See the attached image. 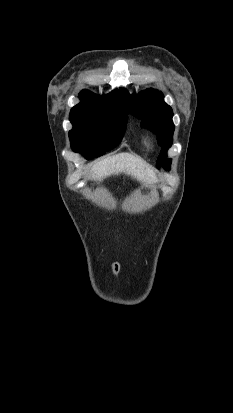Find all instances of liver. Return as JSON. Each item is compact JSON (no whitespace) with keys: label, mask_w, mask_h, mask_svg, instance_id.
I'll list each match as a JSON object with an SVG mask.
<instances>
[{"label":"liver","mask_w":233,"mask_h":413,"mask_svg":"<svg viewBox=\"0 0 233 413\" xmlns=\"http://www.w3.org/2000/svg\"><path fill=\"white\" fill-rule=\"evenodd\" d=\"M125 173L141 181L146 186L155 184L158 180L155 172L142 159L132 154L122 152L100 160L90 170V177L94 180Z\"/></svg>","instance_id":"6515ba94"}]
</instances>
